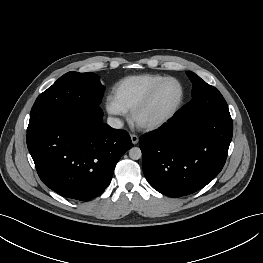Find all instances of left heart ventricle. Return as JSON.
Listing matches in <instances>:
<instances>
[{"label":"left heart ventricle","mask_w":263,"mask_h":263,"mask_svg":"<svg viewBox=\"0 0 263 263\" xmlns=\"http://www.w3.org/2000/svg\"><path fill=\"white\" fill-rule=\"evenodd\" d=\"M182 89L174 80L166 81L155 94L150 106L140 115L141 121H151L170 113L179 103Z\"/></svg>","instance_id":"left-heart-ventricle-1"}]
</instances>
